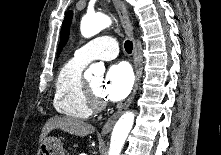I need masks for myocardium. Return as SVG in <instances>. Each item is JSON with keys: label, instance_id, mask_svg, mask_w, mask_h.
I'll list each match as a JSON object with an SVG mask.
<instances>
[{"label": "myocardium", "instance_id": "1", "mask_svg": "<svg viewBox=\"0 0 221 155\" xmlns=\"http://www.w3.org/2000/svg\"><path fill=\"white\" fill-rule=\"evenodd\" d=\"M83 93L86 103L92 111H101L105 108V101L95 94L87 81H83Z\"/></svg>", "mask_w": 221, "mask_h": 155}]
</instances>
